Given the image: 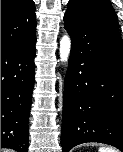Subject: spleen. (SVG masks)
<instances>
[{
  "label": "spleen",
  "mask_w": 123,
  "mask_h": 152,
  "mask_svg": "<svg viewBox=\"0 0 123 152\" xmlns=\"http://www.w3.org/2000/svg\"><path fill=\"white\" fill-rule=\"evenodd\" d=\"M99 152H117V151L113 148L102 147V148L99 149Z\"/></svg>",
  "instance_id": "spleen-1"
}]
</instances>
